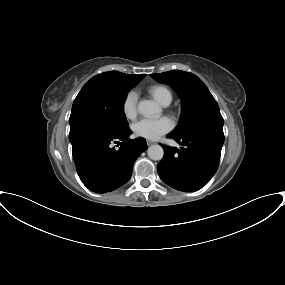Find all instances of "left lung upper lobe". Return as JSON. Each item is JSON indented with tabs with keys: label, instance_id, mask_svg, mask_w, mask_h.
<instances>
[{
	"label": "left lung upper lobe",
	"instance_id": "1",
	"mask_svg": "<svg viewBox=\"0 0 285 285\" xmlns=\"http://www.w3.org/2000/svg\"><path fill=\"white\" fill-rule=\"evenodd\" d=\"M150 76L158 82L171 85L182 98V115L173 135L188 136L202 130L223 133L224 120L218 104L196 75L172 70Z\"/></svg>",
	"mask_w": 285,
	"mask_h": 285
}]
</instances>
